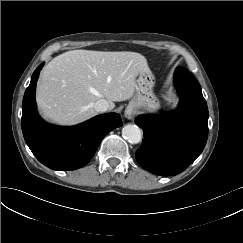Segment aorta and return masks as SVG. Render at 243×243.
<instances>
[{
    "instance_id": "1",
    "label": "aorta",
    "mask_w": 243,
    "mask_h": 243,
    "mask_svg": "<svg viewBox=\"0 0 243 243\" xmlns=\"http://www.w3.org/2000/svg\"><path fill=\"white\" fill-rule=\"evenodd\" d=\"M124 139L132 144H137L142 139V132L140 128L133 124H128L122 129Z\"/></svg>"
}]
</instances>
